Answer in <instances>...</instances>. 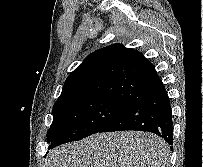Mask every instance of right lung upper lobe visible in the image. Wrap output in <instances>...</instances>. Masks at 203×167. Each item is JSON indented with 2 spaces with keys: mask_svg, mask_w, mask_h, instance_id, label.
I'll use <instances>...</instances> for the list:
<instances>
[{
  "mask_svg": "<svg viewBox=\"0 0 203 167\" xmlns=\"http://www.w3.org/2000/svg\"><path fill=\"white\" fill-rule=\"evenodd\" d=\"M155 66L122 44L96 50L66 79L54 106L80 98H108L128 105L163 88Z\"/></svg>",
  "mask_w": 203,
  "mask_h": 167,
  "instance_id": "obj_1",
  "label": "right lung upper lobe"
}]
</instances>
